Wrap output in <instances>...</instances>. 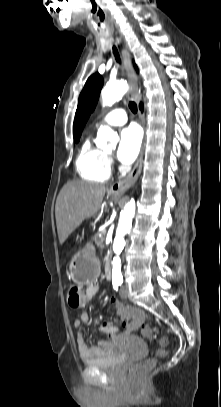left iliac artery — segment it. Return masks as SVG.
<instances>
[{"label": "left iliac artery", "instance_id": "44dca946", "mask_svg": "<svg viewBox=\"0 0 221 407\" xmlns=\"http://www.w3.org/2000/svg\"><path fill=\"white\" fill-rule=\"evenodd\" d=\"M122 282H123V280L121 279V280H119L117 283H118L119 285H121Z\"/></svg>", "mask_w": 221, "mask_h": 407}]
</instances>
